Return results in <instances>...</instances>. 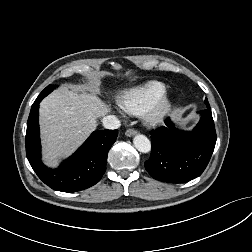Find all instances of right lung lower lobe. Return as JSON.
I'll list each match as a JSON object with an SVG mask.
<instances>
[{
    "label": "right lung lower lobe",
    "instance_id": "1",
    "mask_svg": "<svg viewBox=\"0 0 252 252\" xmlns=\"http://www.w3.org/2000/svg\"><path fill=\"white\" fill-rule=\"evenodd\" d=\"M38 96L27 122L26 155L37 176L50 188L62 192L87 189L100 181L106 170L108 152L116 141L117 130L93 132L85 143L57 169L47 168L41 161Z\"/></svg>",
    "mask_w": 252,
    "mask_h": 252
}]
</instances>
